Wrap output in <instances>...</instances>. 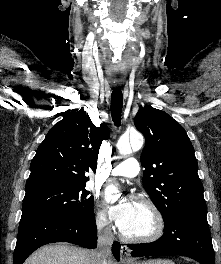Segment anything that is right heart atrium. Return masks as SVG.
Segmentation results:
<instances>
[{
    "label": "right heart atrium",
    "mask_w": 221,
    "mask_h": 264,
    "mask_svg": "<svg viewBox=\"0 0 221 264\" xmlns=\"http://www.w3.org/2000/svg\"><path fill=\"white\" fill-rule=\"evenodd\" d=\"M95 224L99 230H110V222L104 210L97 209L95 212Z\"/></svg>",
    "instance_id": "1"
}]
</instances>
